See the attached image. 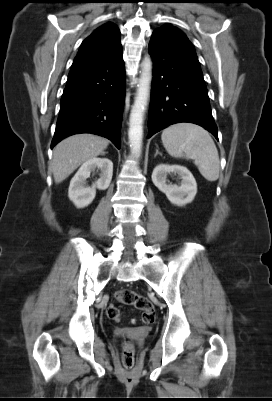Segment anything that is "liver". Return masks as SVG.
<instances>
[{
    "mask_svg": "<svg viewBox=\"0 0 272 401\" xmlns=\"http://www.w3.org/2000/svg\"><path fill=\"white\" fill-rule=\"evenodd\" d=\"M108 144L107 139L87 133L72 135L58 143L52 159L55 183H61L81 164L102 154Z\"/></svg>",
    "mask_w": 272,
    "mask_h": 401,
    "instance_id": "6515ba94",
    "label": "liver"
}]
</instances>
